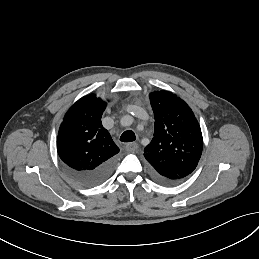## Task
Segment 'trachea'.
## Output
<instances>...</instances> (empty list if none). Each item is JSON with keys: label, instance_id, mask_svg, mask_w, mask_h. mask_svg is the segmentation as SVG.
<instances>
[{"label": "trachea", "instance_id": "obj_1", "mask_svg": "<svg viewBox=\"0 0 259 259\" xmlns=\"http://www.w3.org/2000/svg\"><path fill=\"white\" fill-rule=\"evenodd\" d=\"M135 140H136V136L133 131H125L120 136V141H122V142H133Z\"/></svg>", "mask_w": 259, "mask_h": 259}]
</instances>
